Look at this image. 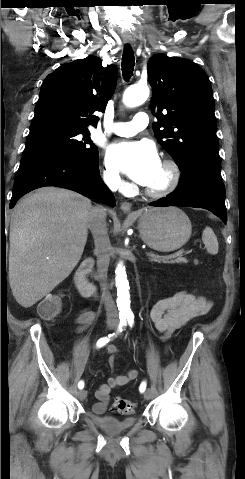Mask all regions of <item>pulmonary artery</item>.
I'll return each instance as SVG.
<instances>
[{
    "instance_id": "e3ab8cb5",
    "label": "pulmonary artery",
    "mask_w": 245,
    "mask_h": 479,
    "mask_svg": "<svg viewBox=\"0 0 245 479\" xmlns=\"http://www.w3.org/2000/svg\"><path fill=\"white\" fill-rule=\"evenodd\" d=\"M149 117L145 112H138L130 122H117L112 126V131L119 136H132L147 127Z\"/></svg>"
}]
</instances>
